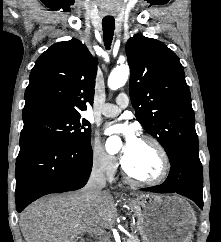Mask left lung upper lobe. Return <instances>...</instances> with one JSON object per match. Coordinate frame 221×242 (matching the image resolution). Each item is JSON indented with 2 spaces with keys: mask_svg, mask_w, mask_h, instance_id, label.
Listing matches in <instances>:
<instances>
[{
  "mask_svg": "<svg viewBox=\"0 0 221 242\" xmlns=\"http://www.w3.org/2000/svg\"><path fill=\"white\" fill-rule=\"evenodd\" d=\"M126 54L137 120L164 147L170 163L182 152H198L190 91L177 55L141 34L128 40Z\"/></svg>",
  "mask_w": 221,
  "mask_h": 242,
  "instance_id": "5c2ea615",
  "label": "left lung upper lobe"
}]
</instances>
